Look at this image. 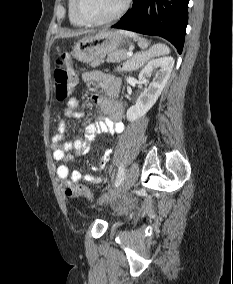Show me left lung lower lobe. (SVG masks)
<instances>
[{"instance_id": "obj_1", "label": "left lung lower lobe", "mask_w": 233, "mask_h": 284, "mask_svg": "<svg viewBox=\"0 0 233 284\" xmlns=\"http://www.w3.org/2000/svg\"><path fill=\"white\" fill-rule=\"evenodd\" d=\"M189 0H134L132 8L113 27L170 41L182 52Z\"/></svg>"}]
</instances>
